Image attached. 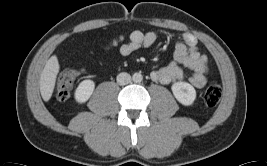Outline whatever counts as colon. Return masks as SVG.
<instances>
[{
	"label": "colon",
	"instance_id": "5ec220e1",
	"mask_svg": "<svg viewBox=\"0 0 267 166\" xmlns=\"http://www.w3.org/2000/svg\"><path fill=\"white\" fill-rule=\"evenodd\" d=\"M74 77L71 73L63 75L56 84V96L59 100L64 101L70 97L73 89ZM222 96L221 86L217 82H211L204 92V103L207 106L218 104Z\"/></svg>",
	"mask_w": 267,
	"mask_h": 166
}]
</instances>
